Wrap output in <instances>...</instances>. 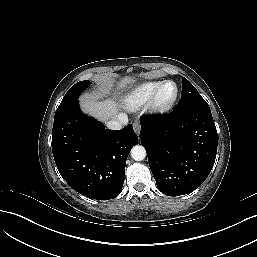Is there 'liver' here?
<instances>
[{
  "label": "liver",
  "instance_id": "obj_1",
  "mask_svg": "<svg viewBox=\"0 0 257 257\" xmlns=\"http://www.w3.org/2000/svg\"><path fill=\"white\" fill-rule=\"evenodd\" d=\"M132 82H134L133 77L125 76L120 80L118 85L119 87H125ZM80 106L84 113H88L100 121L115 120L118 113V104L111 99L97 101L93 97L84 96L80 100Z\"/></svg>",
  "mask_w": 257,
  "mask_h": 257
}]
</instances>
